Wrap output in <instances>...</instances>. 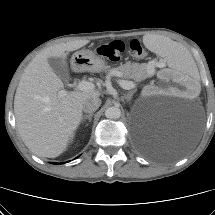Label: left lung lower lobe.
Instances as JSON below:
<instances>
[{
	"instance_id": "left-lung-lower-lobe-1",
	"label": "left lung lower lobe",
	"mask_w": 215,
	"mask_h": 215,
	"mask_svg": "<svg viewBox=\"0 0 215 215\" xmlns=\"http://www.w3.org/2000/svg\"><path fill=\"white\" fill-rule=\"evenodd\" d=\"M179 153L180 151L173 145H169L165 148H162L159 152V154H162L164 156H174V155H178Z\"/></svg>"
}]
</instances>
